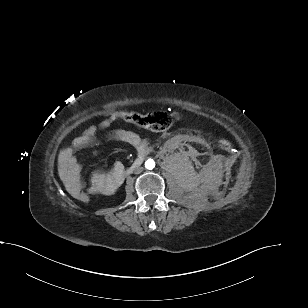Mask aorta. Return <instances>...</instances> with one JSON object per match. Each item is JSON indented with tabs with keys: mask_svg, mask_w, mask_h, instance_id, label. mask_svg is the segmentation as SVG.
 Instances as JSON below:
<instances>
[{
	"mask_svg": "<svg viewBox=\"0 0 308 308\" xmlns=\"http://www.w3.org/2000/svg\"><path fill=\"white\" fill-rule=\"evenodd\" d=\"M145 168L148 169V170L154 169L155 168V161L153 159H148L145 162Z\"/></svg>",
	"mask_w": 308,
	"mask_h": 308,
	"instance_id": "aorta-1",
	"label": "aorta"
}]
</instances>
